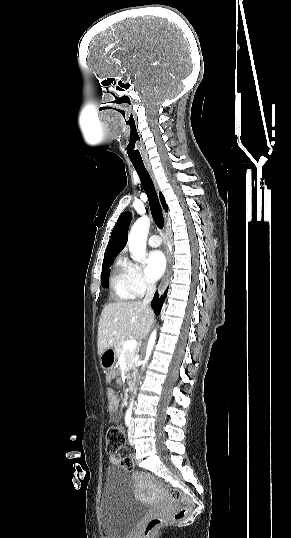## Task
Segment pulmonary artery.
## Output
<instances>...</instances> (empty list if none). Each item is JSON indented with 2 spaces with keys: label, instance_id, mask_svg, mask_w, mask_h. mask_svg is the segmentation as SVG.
I'll return each mask as SVG.
<instances>
[{
  "label": "pulmonary artery",
  "instance_id": "e3ab8cb5",
  "mask_svg": "<svg viewBox=\"0 0 291 538\" xmlns=\"http://www.w3.org/2000/svg\"><path fill=\"white\" fill-rule=\"evenodd\" d=\"M162 243V239L158 235H152L148 239V245L152 248L159 247Z\"/></svg>",
  "mask_w": 291,
  "mask_h": 538
}]
</instances>
